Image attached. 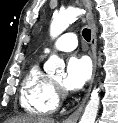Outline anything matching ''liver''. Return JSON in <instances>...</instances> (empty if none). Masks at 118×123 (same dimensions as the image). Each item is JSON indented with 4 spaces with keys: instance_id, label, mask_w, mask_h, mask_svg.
<instances>
[{
    "instance_id": "obj_1",
    "label": "liver",
    "mask_w": 118,
    "mask_h": 123,
    "mask_svg": "<svg viewBox=\"0 0 118 123\" xmlns=\"http://www.w3.org/2000/svg\"><path fill=\"white\" fill-rule=\"evenodd\" d=\"M6 123H55V120L43 116H20L6 121Z\"/></svg>"
}]
</instances>
